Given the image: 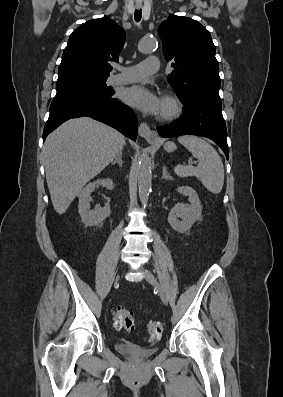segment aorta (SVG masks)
<instances>
[{"label": "aorta", "mask_w": 283, "mask_h": 397, "mask_svg": "<svg viewBox=\"0 0 283 397\" xmlns=\"http://www.w3.org/2000/svg\"><path fill=\"white\" fill-rule=\"evenodd\" d=\"M157 45V40L153 37H145L139 44L141 52H150ZM152 173H151V159L149 155L144 152L139 161L138 167V187L139 198L142 205L146 206L151 191Z\"/></svg>", "instance_id": "762f6f07"}]
</instances>
